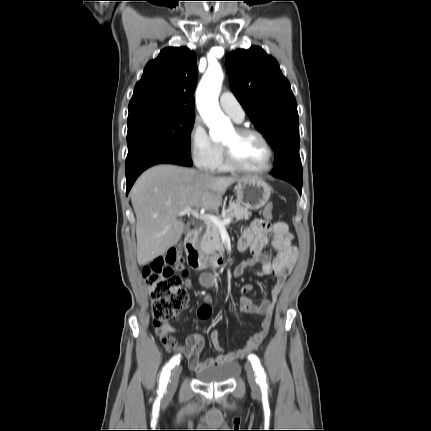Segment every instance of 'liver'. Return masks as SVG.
I'll return each instance as SVG.
<instances>
[{"label": "liver", "mask_w": 431, "mask_h": 431, "mask_svg": "<svg viewBox=\"0 0 431 431\" xmlns=\"http://www.w3.org/2000/svg\"><path fill=\"white\" fill-rule=\"evenodd\" d=\"M241 179L165 164L145 171L130 192L138 264L146 265L178 243L184 231L180 211L187 207L218 209L228 186Z\"/></svg>", "instance_id": "6515ba94"}]
</instances>
